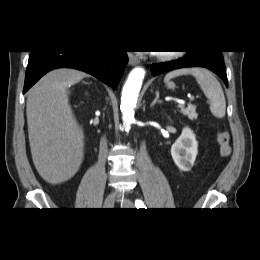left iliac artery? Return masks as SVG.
Listing matches in <instances>:
<instances>
[{"label":"left iliac artery","instance_id":"44dca946","mask_svg":"<svg viewBox=\"0 0 260 260\" xmlns=\"http://www.w3.org/2000/svg\"><path fill=\"white\" fill-rule=\"evenodd\" d=\"M135 204H136V207H137L138 209H144V208H146L145 204H144L143 201L140 200V199H137L136 202H135Z\"/></svg>","mask_w":260,"mask_h":260}]
</instances>
